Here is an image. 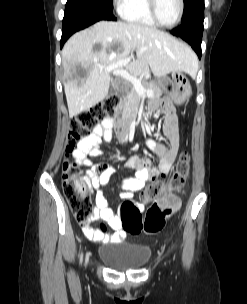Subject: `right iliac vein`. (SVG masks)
I'll use <instances>...</instances> for the list:
<instances>
[{
    "label": "right iliac vein",
    "instance_id": "right-iliac-vein-1",
    "mask_svg": "<svg viewBox=\"0 0 247 304\" xmlns=\"http://www.w3.org/2000/svg\"><path fill=\"white\" fill-rule=\"evenodd\" d=\"M88 257H89V255L87 254V256H86V262L88 261Z\"/></svg>",
    "mask_w": 247,
    "mask_h": 304
}]
</instances>
